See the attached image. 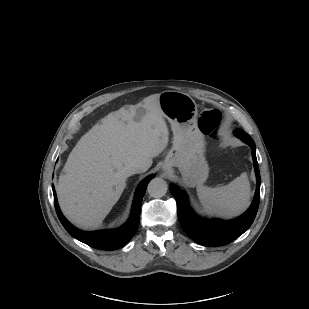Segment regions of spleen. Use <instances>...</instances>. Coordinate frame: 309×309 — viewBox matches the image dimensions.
Masks as SVG:
<instances>
[{
  "mask_svg": "<svg viewBox=\"0 0 309 309\" xmlns=\"http://www.w3.org/2000/svg\"><path fill=\"white\" fill-rule=\"evenodd\" d=\"M197 195L207 213L229 218L241 214L249 206L250 183L243 173L225 186L199 185Z\"/></svg>",
  "mask_w": 309,
  "mask_h": 309,
  "instance_id": "1",
  "label": "spleen"
}]
</instances>
